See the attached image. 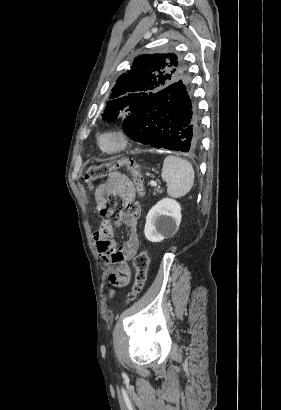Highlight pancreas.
Returning a JSON list of instances; mask_svg holds the SVG:
<instances>
[{"mask_svg":"<svg viewBox=\"0 0 281 410\" xmlns=\"http://www.w3.org/2000/svg\"><path fill=\"white\" fill-rule=\"evenodd\" d=\"M161 192H162V190L156 189L155 192H154V194H156V193H161Z\"/></svg>","mask_w":281,"mask_h":410,"instance_id":"pancreas-1","label":"pancreas"}]
</instances>
